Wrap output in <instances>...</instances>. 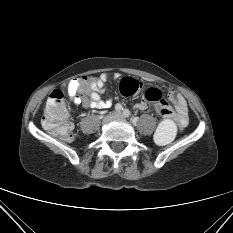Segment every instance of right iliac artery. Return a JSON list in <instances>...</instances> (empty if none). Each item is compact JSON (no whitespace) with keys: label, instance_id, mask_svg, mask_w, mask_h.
Wrapping results in <instances>:
<instances>
[{"label":"right iliac artery","instance_id":"82829eb1","mask_svg":"<svg viewBox=\"0 0 233 233\" xmlns=\"http://www.w3.org/2000/svg\"><path fill=\"white\" fill-rule=\"evenodd\" d=\"M115 109H116L117 112H121L123 110V107H122L121 104H117Z\"/></svg>","mask_w":233,"mask_h":233}]
</instances>
